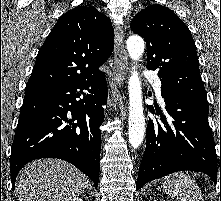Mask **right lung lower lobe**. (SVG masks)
Returning <instances> with one entry per match:
<instances>
[{
	"mask_svg": "<svg viewBox=\"0 0 221 201\" xmlns=\"http://www.w3.org/2000/svg\"><path fill=\"white\" fill-rule=\"evenodd\" d=\"M86 90L88 93H83ZM81 96L83 99L78 100ZM107 100L105 74L55 86H26L12 145V189L16 176L30 161L59 158L99 181L102 105Z\"/></svg>",
	"mask_w": 221,
	"mask_h": 201,
	"instance_id": "right-lung-lower-lobe-1",
	"label": "right lung lower lobe"
}]
</instances>
